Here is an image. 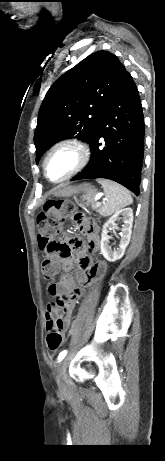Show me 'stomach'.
Instances as JSON below:
<instances>
[{"instance_id": "1", "label": "stomach", "mask_w": 165, "mask_h": 461, "mask_svg": "<svg viewBox=\"0 0 165 461\" xmlns=\"http://www.w3.org/2000/svg\"><path fill=\"white\" fill-rule=\"evenodd\" d=\"M79 193H82L84 197L93 196L95 194V190L90 184L83 183L76 186H65L60 188L55 192V195L61 197H70L73 194Z\"/></svg>"}]
</instances>
